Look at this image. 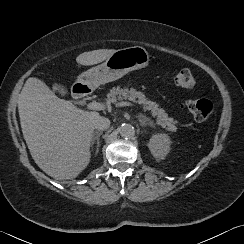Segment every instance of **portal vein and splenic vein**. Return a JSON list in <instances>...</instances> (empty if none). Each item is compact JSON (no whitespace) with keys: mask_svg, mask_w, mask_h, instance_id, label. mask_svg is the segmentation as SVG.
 <instances>
[{"mask_svg":"<svg viewBox=\"0 0 244 244\" xmlns=\"http://www.w3.org/2000/svg\"><path fill=\"white\" fill-rule=\"evenodd\" d=\"M118 106L120 107H124V106H132L134 107L135 105L131 102H128V101H123V102H119L118 103ZM104 108V105L101 104V103H98L96 101H93V102H90L87 104V109L89 110H102Z\"/></svg>","mask_w":244,"mask_h":244,"instance_id":"1","label":"portal vein and splenic vein"}]
</instances>
